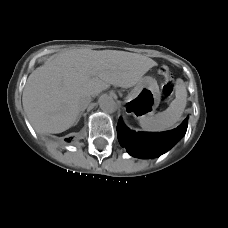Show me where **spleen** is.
Returning <instances> with one entry per match:
<instances>
[{
  "label": "spleen",
  "mask_w": 228,
  "mask_h": 228,
  "mask_svg": "<svg viewBox=\"0 0 228 228\" xmlns=\"http://www.w3.org/2000/svg\"><path fill=\"white\" fill-rule=\"evenodd\" d=\"M175 95L165 111L141 118L140 126L147 131H164L173 127L180 120L187 104L188 95L183 83L177 84Z\"/></svg>",
  "instance_id": "1"
}]
</instances>
